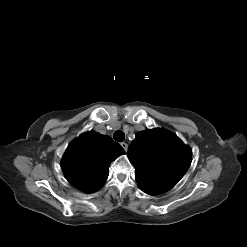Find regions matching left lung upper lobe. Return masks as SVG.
I'll return each mask as SVG.
<instances>
[{"instance_id":"left-lung-upper-lobe-1","label":"left lung upper lobe","mask_w":247,"mask_h":247,"mask_svg":"<svg viewBox=\"0 0 247 247\" xmlns=\"http://www.w3.org/2000/svg\"><path fill=\"white\" fill-rule=\"evenodd\" d=\"M127 155L140 189L158 195L173 188L184 176L192 151L175 134L156 128L137 133Z\"/></svg>"}]
</instances>
